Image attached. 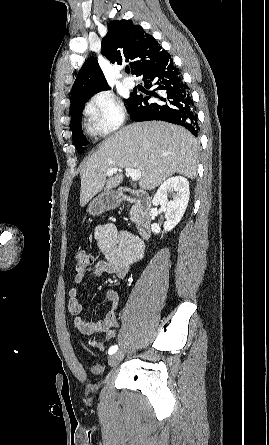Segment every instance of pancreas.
I'll use <instances>...</instances> for the list:
<instances>
[{"label":"pancreas","mask_w":269,"mask_h":445,"mask_svg":"<svg viewBox=\"0 0 269 445\" xmlns=\"http://www.w3.org/2000/svg\"><path fill=\"white\" fill-rule=\"evenodd\" d=\"M139 217V210L137 206H133L130 211V218L133 222H136Z\"/></svg>","instance_id":"1"}]
</instances>
